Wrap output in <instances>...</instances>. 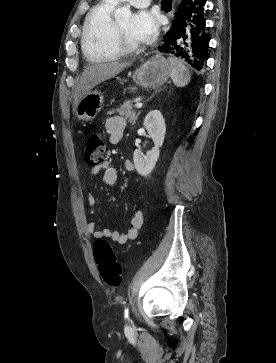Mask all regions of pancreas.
Returning a JSON list of instances; mask_svg holds the SVG:
<instances>
[{"mask_svg": "<svg viewBox=\"0 0 276 363\" xmlns=\"http://www.w3.org/2000/svg\"><path fill=\"white\" fill-rule=\"evenodd\" d=\"M118 113L120 116L124 117L126 120H128L129 123H134L136 120V112L133 110V105L131 101L125 102L123 105H121L120 108H117L116 110H112L108 112L109 115L113 113Z\"/></svg>", "mask_w": 276, "mask_h": 363, "instance_id": "1", "label": "pancreas"}]
</instances>
